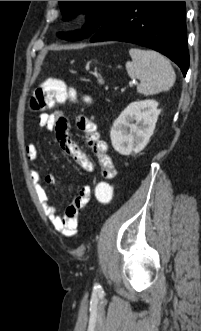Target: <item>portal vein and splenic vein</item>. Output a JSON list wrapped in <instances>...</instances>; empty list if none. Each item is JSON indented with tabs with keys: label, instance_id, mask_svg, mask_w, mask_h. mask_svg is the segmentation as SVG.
Wrapping results in <instances>:
<instances>
[{
	"label": "portal vein and splenic vein",
	"instance_id": "portal-vein-and-splenic-vein-1",
	"mask_svg": "<svg viewBox=\"0 0 201 331\" xmlns=\"http://www.w3.org/2000/svg\"><path fill=\"white\" fill-rule=\"evenodd\" d=\"M130 84H135V82L133 81V82H130Z\"/></svg>",
	"mask_w": 201,
	"mask_h": 331
}]
</instances>
